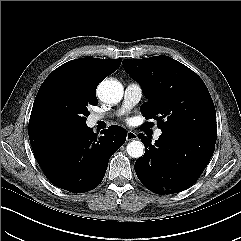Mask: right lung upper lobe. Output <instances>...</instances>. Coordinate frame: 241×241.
I'll return each instance as SVG.
<instances>
[{
  "label": "right lung upper lobe",
  "mask_w": 241,
  "mask_h": 241,
  "mask_svg": "<svg viewBox=\"0 0 241 241\" xmlns=\"http://www.w3.org/2000/svg\"><path fill=\"white\" fill-rule=\"evenodd\" d=\"M120 64L121 59L80 58L71 60L55 69L46 78L40 89L55 82H62L77 90L88 101L94 102L97 101L98 84L113 73Z\"/></svg>",
  "instance_id": "right-lung-upper-lobe-1"
}]
</instances>
